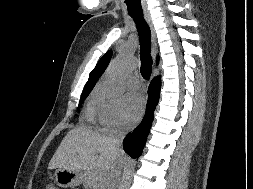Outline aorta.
Masks as SVG:
<instances>
[{
	"instance_id": "1",
	"label": "aorta",
	"mask_w": 253,
	"mask_h": 189,
	"mask_svg": "<svg viewBox=\"0 0 253 189\" xmlns=\"http://www.w3.org/2000/svg\"><path fill=\"white\" fill-rule=\"evenodd\" d=\"M133 66L134 64L131 57L124 53L112 64L102 85L109 100L118 101L121 98L123 94L124 77Z\"/></svg>"
}]
</instances>
